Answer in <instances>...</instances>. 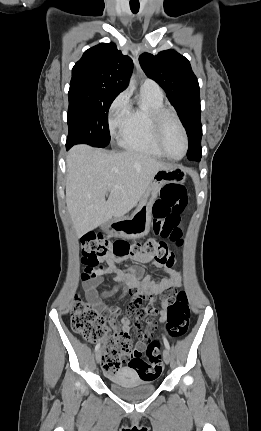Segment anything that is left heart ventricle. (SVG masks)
Instances as JSON below:
<instances>
[{
    "label": "left heart ventricle",
    "instance_id": "1",
    "mask_svg": "<svg viewBox=\"0 0 261 431\" xmlns=\"http://www.w3.org/2000/svg\"><path fill=\"white\" fill-rule=\"evenodd\" d=\"M162 141L167 153L172 157H180L183 154L185 143L181 130L172 118L165 122Z\"/></svg>",
    "mask_w": 261,
    "mask_h": 431
}]
</instances>
